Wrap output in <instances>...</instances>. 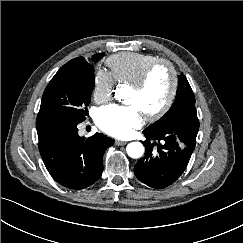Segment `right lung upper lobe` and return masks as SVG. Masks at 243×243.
<instances>
[{
  "mask_svg": "<svg viewBox=\"0 0 243 243\" xmlns=\"http://www.w3.org/2000/svg\"><path fill=\"white\" fill-rule=\"evenodd\" d=\"M87 65H88V63L85 61V59L83 57H77V58L67 62L63 67L74 68V67H84Z\"/></svg>",
  "mask_w": 243,
  "mask_h": 243,
  "instance_id": "cb5924a9",
  "label": "right lung upper lobe"
}]
</instances>
